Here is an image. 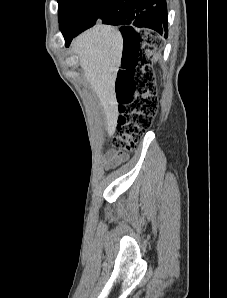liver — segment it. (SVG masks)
Segmentation results:
<instances>
[{
    "mask_svg": "<svg viewBox=\"0 0 227 298\" xmlns=\"http://www.w3.org/2000/svg\"><path fill=\"white\" fill-rule=\"evenodd\" d=\"M84 77L103 107L108 135L115 132L117 101L115 81L121 63L123 38L112 26L99 24L80 34L73 43Z\"/></svg>",
    "mask_w": 227,
    "mask_h": 298,
    "instance_id": "obj_1",
    "label": "liver"
}]
</instances>
